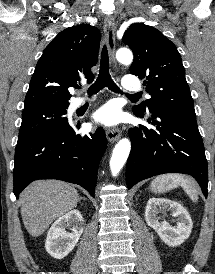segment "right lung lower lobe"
Returning a JSON list of instances; mask_svg holds the SVG:
<instances>
[{
    "label": "right lung lower lobe",
    "mask_w": 215,
    "mask_h": 274,
    "mask_svg": "<svg viewBox=\"0 0 215 274\" xmlns=\"http://www.w3.org/2000/svg\"><path fill=\"white\" fill-rule=\"evenodd\" d=\"M106 146L102 128L76 135L68 122L33 136L16 147L14 194L18 198L34 180L59 179L82 186L94 197L98 165Z\"/></svg>",
    "instance_id": "1"
}]
</instances>
